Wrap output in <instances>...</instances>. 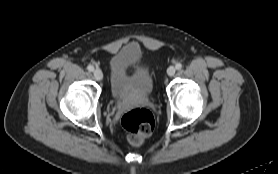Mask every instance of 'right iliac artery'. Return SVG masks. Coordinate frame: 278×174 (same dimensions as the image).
Masks as SVG:
<instances>
[{"label": "right iliac artery", "mask_w": 278, "mask_h": 174, "mask_svg": "<svg viewBox=\"0 0 278 174\" xmlns=\"http://www.w3.org/2000/svg\"><path fill=\"white\" fill-rule=\"evenodd\" d=\"M87 69H88L90 72L94 71V67H93L92 65H88V66H87Z\"/></svg>", "instance_id": "82829eb1"}]
</instances>
